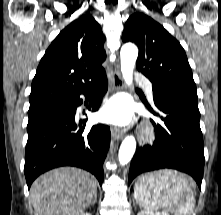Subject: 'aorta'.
<instances>
[{
  "instance_id": "1",
  "label": "aorta",
  "mask_w": 221,
  "mask_h": 215,
  "mask_svg": "<svg viewBox=\"0 0 221 215\" xmlns=\"http://www.w3.org/2000/svg\"><path fill=\"white\" fill-rule=\"evenodd\" d=\"M138 57V49L132 43L124 44L120 51L121 72L128 86L133 82V70ZM136 150V140L133 136H127L119 149L118 159L121 165H125L132 159Z\"/></svg>"
}]
</instances>
